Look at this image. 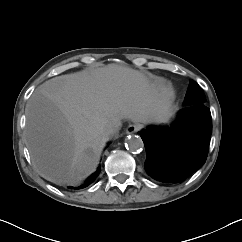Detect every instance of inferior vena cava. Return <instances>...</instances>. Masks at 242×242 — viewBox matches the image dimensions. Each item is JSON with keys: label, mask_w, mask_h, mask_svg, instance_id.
I'll return each instance as SVG.
<instances>
[{"label": "inferior vena cava", "mask_w": 242, "mask_h": 242, "mask_svg": "<svg viewBox=\"0 0 242 242\" xmlns=\"http://www.w3.org/2000/svg\"><path fill=\"white\" fill-rule=\"evenodd\" d=\"M117 131V125L115 123H109L105 128V135L110 136Z\"/></svg>", "instance_id": "obj_1"}]
</instances>
